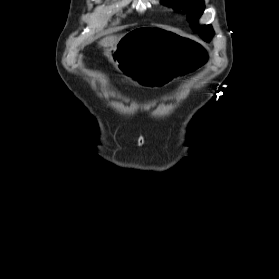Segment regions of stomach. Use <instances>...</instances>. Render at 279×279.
Here are the masks:
<instances>
[{"label": "stomach", "mask_w": 279, "mask_h": 279, "mask_svg": "<svg viewBox=\"0 0 279 279\" xmlns=\"http://www.w3.org/2000/svg\"><path fill=\"white\" fill-rule=\"evenodd\" d=\"M129 30L120 43L107 54L116 68L133 79L131 87L140 91H160L168 78H195L208 58L206 46L197 40L176 34V30L157 25H138ZM183 49V50H134ZM153 86H145L152 85ZM168 86V83H164Z\"/></svg>", "instance_id": "0dacf381"}]
</instances>
